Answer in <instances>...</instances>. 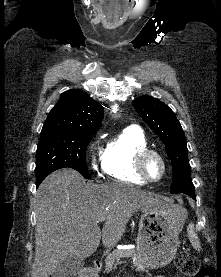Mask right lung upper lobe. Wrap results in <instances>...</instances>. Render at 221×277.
I'll list each match as a JSON object with an SVG mask.
<instances>
[{"instance_id":"obj_1","label":"right lung upper lobe","mask_w":221,"mask_h":277,"mask_svg":"<svg viewBox=\"0 0 221 277\" xmlns=\"http://www.w3.org/2000/svg\"><path fill=\"white\" fill-rule=\"evenodd\" d=\"M103 106L82 90L61 94L49 112L42 131H94L101 126Z\"/></svg>"}]
</instances>
